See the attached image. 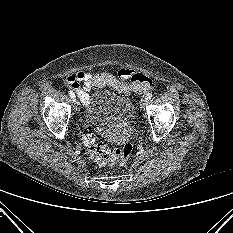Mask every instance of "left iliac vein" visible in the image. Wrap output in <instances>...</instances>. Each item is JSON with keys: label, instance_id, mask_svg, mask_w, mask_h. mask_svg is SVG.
Here are the masks:
<instances>
[{"label": "left iliac vein", "instance_id": "left-iliac-vein-1", "mask_svg": "<svg viewBox=\"0 0 233 233\" xmlns=\"http://www.w3.org/2000/svg\"><path fill=\"white\" fill-rule=\"evenodd\" d=\"M148 100H146V98H143L141 101H140V108L142 110H144L145 108V105L147 104Z\"/></svg>", "mask_w": 233, "mask_h": 233}]
</instances>
